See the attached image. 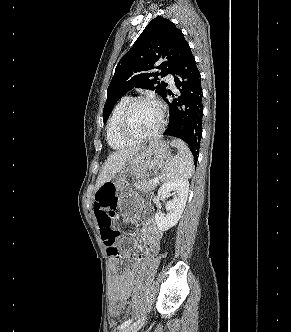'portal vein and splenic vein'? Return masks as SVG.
I'll return each instance as SVG.
<instances>
[{"label": "portal vein and splenic vein", "mask_w": 291, "mask_h": 332, "mask_svg": "<svg viewBox=\"0 0 291 332\" xmlns=\"http://www.w3.org/2000/svg\"><path fill=\"white\" fill-rule=\"evenodd\" d=\"M152 183H153V184H157V183H159V178H158V177H155V178L152 180Z\"/></svg>", "instance_id": "1"}]
</instances>
